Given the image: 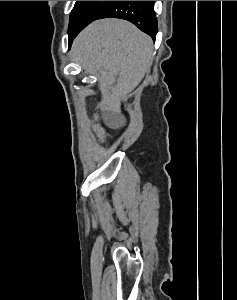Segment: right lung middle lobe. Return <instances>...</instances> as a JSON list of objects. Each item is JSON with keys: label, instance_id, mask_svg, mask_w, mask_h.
<instances>
[{"label": "right lung middle lobe", "instance_id": "dd1d6c3e", "mask_svg": "<svg viewBox=\"0 0 237 300\" xmlns=\"http://www.w3.org/2000/svg\"><path fill=\"white\" fill-rule=\"evenodd\" d=\"M112 2L113 1H76L70 14L68 28L69 43L71 44L74 36L89 23L96 20Z\"/></svg>", "mask_w": 237, "mask_h": 300}]
</instances>
